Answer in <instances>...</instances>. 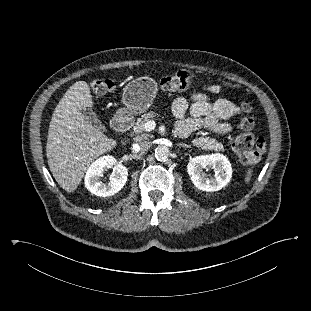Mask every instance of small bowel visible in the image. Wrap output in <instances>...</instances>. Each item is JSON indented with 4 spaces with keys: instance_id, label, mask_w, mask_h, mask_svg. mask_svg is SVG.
Wrapping results in <instances>:
<instances>
[{
    "instance_id": "c3829d8e",
    "label": "small bowel",
    "mask_w": 311,
    "mask_h": 311,
    "mask_svg": "<svg viewBox=\"0 0 311 311\" xmlns=\"http://www.w3.org/2000/svg\"><path fill=\"white\" fill-rule=\"evenodd\" d=\"M204 92H195L189 98L178 97L172 103V113L178 119L175 128L182 137H187L198 129H206L223 134L231 130L227 120L241 113L240 108L232 101L220 98L211 101L208 93L221 91L218 84L204 86Z\"/></svg>"
}]
</instances>
